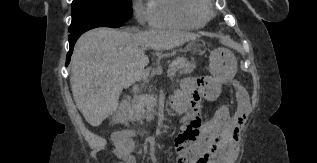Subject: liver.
Segmentation results:
<instances>
[{
  "label": "liver",
  "instance_id": "6515ba94",
  "mask_svg": "<svg viewBox=\"0 0 317 163\" xmlns=\"http://www.w3.org/2000/svg\"><path fill=\"white\" fill-rule=\"evenodd\" d=\"M198 37L189 32L105 27L84 33L71 57L70 83L85 120L98 127L117 110L122 90L139 81L149 63L145 49L169 50Z\"/></svg>",
  "mask_w": 317,
  "mask_h": 163
}]
</instances>
